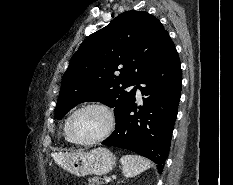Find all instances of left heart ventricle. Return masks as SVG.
I'll use <instances>...</instances> for the list:
<instances>
[{
	"instance_id": "obj_1",
	"label": "left heart ventricle",
	"mask_w": 233,
	"mask_h": 185,
	"mask_svg": "<svg viewBox=\"0 0 233 185\" xmlns=\"http://www.w3.org/2000/svg\"><path fill=\"white\" fill-rule=\"evenodd\" d=\"M106 114L99 109H86L77 113L71 122V132L79 140L100 135L107 127Z\"/></svg>"
}]
</instances>
